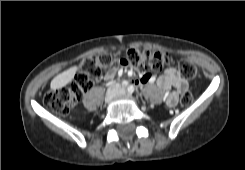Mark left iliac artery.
<instances>
[{
  "label": "left iliac artery",
  "mask_w": 245,
  "mask_h": 170,
  "mask_svg": "<svg viewBox=\"0 0 245 170\" xmlns=\"http://www.w3.org/2000/svg\"><path fill=\"white\" fill-rule=\"evenodd\" d=\"M134 90H135V88H134L133 85H130V86L128 87V89H127V91H128L129 94H132V93L134 92Z\"/></svg>",
  "instance_id": "obj_1"
}]
</instances>
